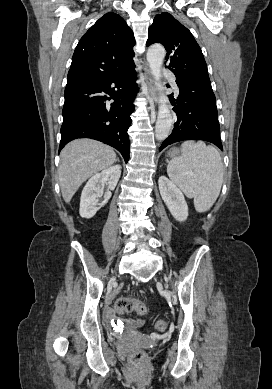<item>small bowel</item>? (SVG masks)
I'll return each mask as SVG.
<instances>
[{
  "label": "small bowel",
  "mask_w": 272,
  "mask_h": 389,
  "mask_svg": "<svg viewBox=\"0 0 272 389\" xmlns=\"http://www.w3.org/2000/svg\"><path fill=\"white\" fill-rule=\"evenodd\" d=\"M109 312H110V311H109ZM140 323H141V321H137V322H136V324H140Z\"/></svg>",
  "instance_id": "1"
}]
</instances>
